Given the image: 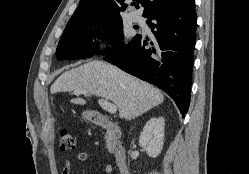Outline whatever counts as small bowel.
Here are the masks:
<instances>
[{"label":"small bowel","instance_id":"obj_1","mask_svg":"<svg viewBox=\"0 0 249 174\" xmlns=\"http://www.w3.org/2000/svg\"><path fill=\"white\" fill-rule=\"evenodd\" d=\"M87 158H88L87 153L80 152L77 155L76 160H77V162H84L87 160ZM105 171L108 174L112 171V168L109 164L105 165ZM71 172H72V164L69 160H66L64 165H63V168H62V174H71Z\"/></svg>","mask_w":249,"mask_h":174}]
</instances>
